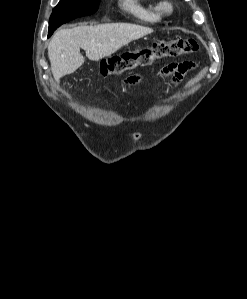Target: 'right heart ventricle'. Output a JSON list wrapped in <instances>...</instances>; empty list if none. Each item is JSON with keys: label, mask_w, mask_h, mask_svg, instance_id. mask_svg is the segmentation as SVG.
Here are the masks:
<instances>
[{"label": "right heart ventricle", "mask_w": 247, "mask_h": 299, "mask_svg": "<svg viewBox=\"0 0 247 299\" xmlns=\"http://www.w3.org/2000/svg\"><path fill=\"white\" fill-rule=\"evenodd\" d=\"M120 7L143 23H157L162 18L160 5L152 0H120Z\"/></svg>", "instance_id": "e07e8e85"}]
</instances>
